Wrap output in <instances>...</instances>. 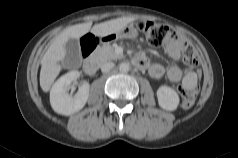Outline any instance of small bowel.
I'll return each mask as SVG.
<instances>
[{
    "instance_id": "small-bowel-1",
    "label": "small bowel",
    "mask_w": 238,
    "mask_h": 158,
    "mask_svg": "<svg viewBox=\"0 0 238 158\" xmlns=\"http://www.w3.org/2000/svg\"><path fill=\"white\" fill-rule=\"evenodd\" d=\"M186 41L181 37H175L170 39L165 44L166 53L174 60L178 61L181 58ZM144 63V67L149 75L154 79H159L166 75V77L174 83H178L182 78V70L178 65H171L164 67L159 63H150L145 58H141Z\"/></svg>"
}]
</instances>
